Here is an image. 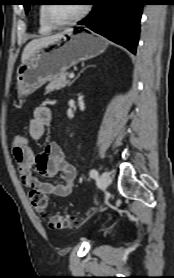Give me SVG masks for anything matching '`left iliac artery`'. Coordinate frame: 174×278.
Instances as JSON below:
<instances>
[{
    "instance_id": "1",
    "label": "left iliac artery",
    "mask_w": 174,
    "mask_h": 278,
    "mask_svg": "<svg viewBox=\"0 0 174 278\" xmlns=\"http://www.w3.org/2000/svg\"><path fill=\"white\" fill-rule=\"evenodd\" d=\"M90 177L91 178H97L98 177V171L96 169H92L90 171Z\"/></svg>"
}]
</instances>
